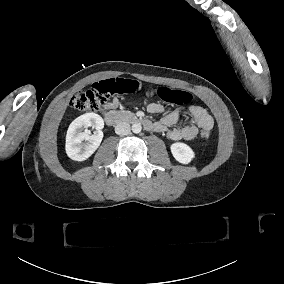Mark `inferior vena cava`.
I'll return each mask as SVG.
<instances>
[{"instance_id": "1", "label": "inferior vena cava", "mask_w": 284, "mask_h": 284, "mask_svg": "<svg viewBox=\"0 0 284 284\" xmlns=\"http://www.w3.org/2000/svg\"><path fill=\"white\" fill-rule=\"evenodd\" d=\"M130 132V125L128 122H120L115 126V133L120 136H125Z\"/></svg>"}]
</instances>
